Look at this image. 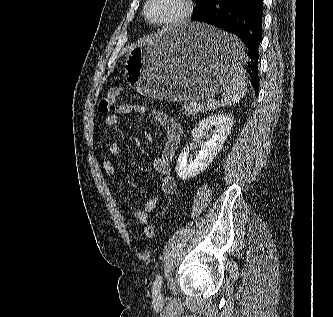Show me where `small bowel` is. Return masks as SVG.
Returning <instances> with one entry per match:
<instances>
[{
    "label": "small bowel",
    "instance_id": "small-bowel-1",
    "mask_svg": "<svg viewBox=\"0 0 333 317\" xmlns=\"http://www.w3.org/2000/svg\"><path fill=\"white\" fill-rule=\"evenodd\" d=\"M149 112L154 120L165 130L166 139L160 155L154 160L153 167L159 175L158 188L164 195H172L177 190V182L171 173V162L177 151L182 129L180 125L167 113L160 110H148L144 106L121 103L112 114L107 115L103 120L105 127H113L120 123V117L131 113ZM109 154L118 157L121 154V147L118 143H112L108 148ZM104 171L113 179L117 172L115 165L109 159L102 162ZM159 204L158 197L147 200L139 210L134 212L133 217L138 225H145L149 220V214L154 211Z\"/></svg>",
    "mask_w": 333,
    "mask_h": 317
}]
</instances>
